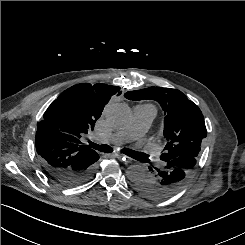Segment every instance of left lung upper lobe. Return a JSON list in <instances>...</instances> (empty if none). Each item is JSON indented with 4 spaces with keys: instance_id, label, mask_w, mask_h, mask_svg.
I'll return each instance as SVG.
<instances>
[{
    "instance_id": "1",
    "label": "left lung upper lobe",
    "mask_w": 245,
    "mask_h": 245,
    "mask_svg": "<svg viewBox=\"0 0 245 245\" xmlns=\"http://www.w3.org/2000/svg\"><path fill=\"white\" fill-rule=\"evenodd\" d=\"M124 96L129 100H155L165 111L164 137L167 143L160 156L163 162L181 156L199 157L207 130L201 110L185 94L171 88L149 87L129 91Z\"/></svg>"
}]
</instances>
